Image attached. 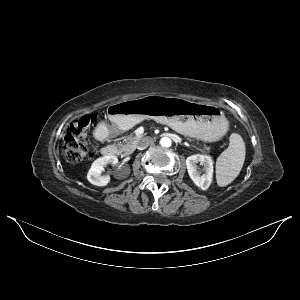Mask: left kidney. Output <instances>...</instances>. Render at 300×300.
Listing matches in <instances>:
<instances>
[{"label": "left kidney", "instance_id": "1", "mask_svg": "<svg viewBox=\"0 0 300 300\" xmlns=\"http://www.w3.org/2000/svg\"><path fill=\"white\" fill-rule=\"evenodd\" d=\"M198 163L203 166V174L198 171ZM186 166L193 182L202 190L208 189L213 178V160L211 157L202 154L189 156L186 159Z\"/></svg>", "mask_w": 300, "mask_h": 300}]
</instances>
